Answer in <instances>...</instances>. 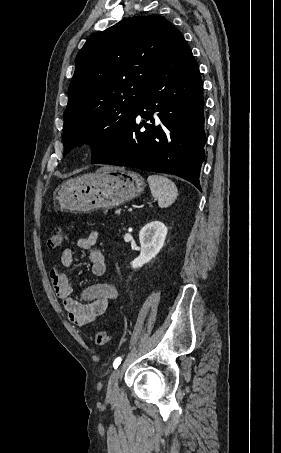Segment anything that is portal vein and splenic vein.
I'll return each mask as SVG.
<instances>
[{
	"instance_id": "portal-vein-and-splenic-vein-1",
	"label": "portal vein and splenic vein",
	"mask_w": 281,
	"mask_h": 453,
	"mask_svg": "<svg viewBox=\"0 0 281 453\" xmlns=\"http://www.w3.org/2000/svg\"><path fill=\"white\" fill-rule=\"evenodd\" d=\"M134 207H136V208H139V207H140V208H143V205H140V206H139V205H136V206L133 205L132 207L130 206V207H128V209H127L128 212H130V213L133 212V211H134Z\"/></svg>"
}]
</instances>
